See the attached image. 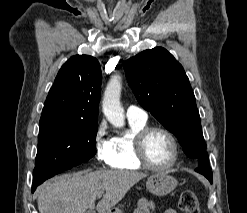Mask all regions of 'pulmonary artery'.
<instances>
[{"mask_svg":"<svg viewBox=\"0 0 247 213\" xmlns=\"http://www.w3.org/2000/svg\"><path fill=\"white\" fill-rule=\"evenodd\" d=\"M126 116L129 120H137V121L147 120L146 111L137 106H129L126 111Z\"/></svg>","mask_w":247,"mask_h":213,"instance_id":"obj_1","label":"pulmonary artery"}]
</instances>
